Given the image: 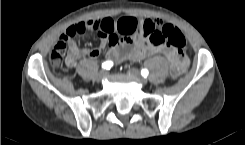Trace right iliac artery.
<instances>
[{"label":"right iliac artery","mask_w":245,"mask_h":145,"mask_svg":"<svg viewBox=\"0 0 245 145\" xmlns=\"http://www.w3.org/2000/svg\"><path fill=\"white\" fill-rule=\"evenodd\" d=\"M112 66H113L112 61H106V62L102 63V68L106 69V70H109Z\"/></svg>","instance_id":"right-iliac-artery-1"}]
</instances>
